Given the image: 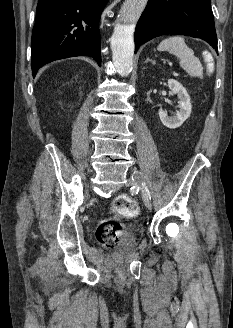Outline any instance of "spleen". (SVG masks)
Masks as SVG:
<instances>
[{
    "label": "spleen",
    "mask_w": 233,
    "mask_h": 328,
    "mask_svg": "<svg viewBox=\"0 0 233 328\" xmlns=\"http://www.w3.org/2000/svg\"><path fill=\"white\" fill-rule=\"evenodd\" d=\"M159 51H168L179 59V64L191 77H203V67L200 60L195 57L183 37L172 36L164 39L157 48Z\"/></svg>",
    "instance_id": "obj_1"
}]
</instances>
